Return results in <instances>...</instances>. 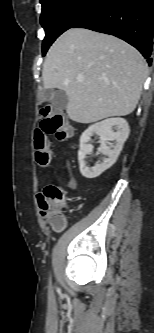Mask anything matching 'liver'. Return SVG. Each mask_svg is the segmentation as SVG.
Returning <instances> with one entry per match:
<instances>
[{
	"label": "liver",
	"instance_id": "1",
	"mask_svg": "<svg viewBox=\"0 0 154 333\" xmlns=\"http://www.w3.org/2000/svg\"><path fill=\"white\" fill-rule=\"evenodd\" d=\"M146 76L147 63L137 49L84 28H71L58 37L42 71L44 89L65 91L68 117L83 124L132 113Z\"/></svg>",
	"mask_w": 154,
	"mask_h": 333
}]
</instances>
